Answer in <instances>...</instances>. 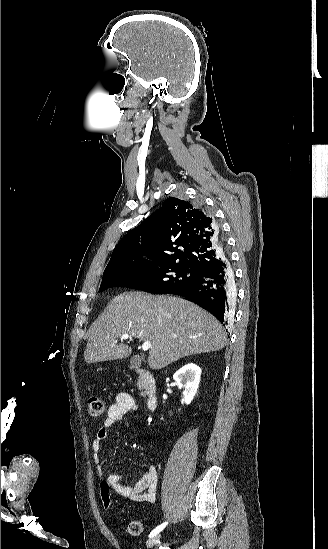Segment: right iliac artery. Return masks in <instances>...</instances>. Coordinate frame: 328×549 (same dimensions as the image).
Here are the masks:
<instances>
[{"mask_svg": "<svg viewBox=\"0 0 328 549\" xmlns=\"http://www.w3.org/2000/svg\"><path fill=\"white\" fill-rule=\"evenodd\" d=\"M167 524H168V523L165 522V523H163V524L157 526L153 531H151L149 537H153L154 535L158 534L160 531H162V530L165 528V526H166Z\"/></svg>", "mask_w": 328, "mask_h": 549, "instance_id": "obj_1", "label": "right iliac artery"}]
</instances>
